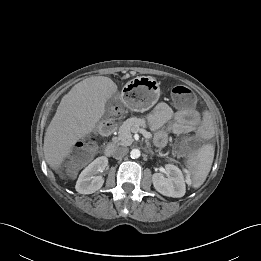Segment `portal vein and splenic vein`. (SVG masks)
<instances>
[{"instance_id": "1", "label": "portal vein and splenic vein", "mask_w": 261, "mask_h": 261, "mask_svg": "<svg viewBox=\"0 0 261 261\" xmlns=\"http://www.w3.org/2000/svg\"><path fill=\"white\" fill-rule=\"evenodd\" d=\"M138 131H139L140 133H143L146 138H150V137H151V133H150V132H147V131H145V130H143V129H139ZM138 131H137V132H138Z\"/></svg>"}]
</instances>
